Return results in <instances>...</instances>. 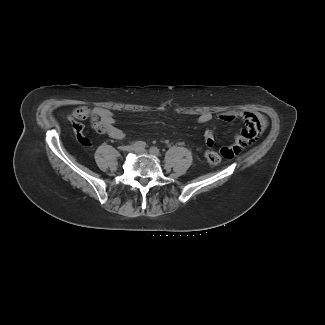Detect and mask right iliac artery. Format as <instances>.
<instances>
[{"label": "right iliac artery", "mask_w": 325, "mask_h": 325, "mask_svg": "<svg viewBox=\"0 0 325 325\" xmlns=\"http://www.w3.org/2000/svg\"><path fill=\"white\" fill-rule=\"evenodd\" d=\"M132 145L137 148L143 149V148H145L146 144L143 141H136V142H133Z\"/></svg>", "instance_id": "1"}]
</instances>
